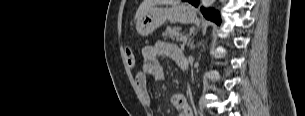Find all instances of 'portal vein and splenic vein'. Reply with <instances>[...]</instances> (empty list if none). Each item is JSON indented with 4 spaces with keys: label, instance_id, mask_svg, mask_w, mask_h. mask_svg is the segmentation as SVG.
<instances>
[{
    "label": "portal vein and splenic vein",
    "instance_id": "1",
    "mask_svg": "<svg viewBox=\"0 0 305 116\" xmlns=\"http://www.w3.org/2000/svg\"><path fill=\"white\" fill-rule=\"evenodd\" d=\"M178 40H180V41H186L187 38H186L185 36H180V38H178Z\"/></svg>",
    "mask_w": 305,
    "mask_h": 116
}]
</instances>
